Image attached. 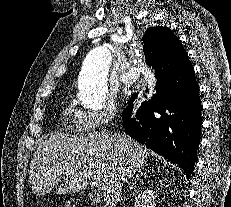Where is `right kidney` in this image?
I'll return each instance as SVG.
<instances>
[{
    "instance_id": "obj_1",
    "label": "right kidney",
    "mask_w": 231,
    "mask_h": 207,
    "mask_svg": "<svg viewBox=\"0 0 231 207\" xmlns=\"http://www.w3.org/2000/svg\"><path fill=\"white\" fill-rule=\"evenodd\" d=\"M135 207H155V194L152 190H144L135 198Z\"/></svg>"
}]
</instances>
